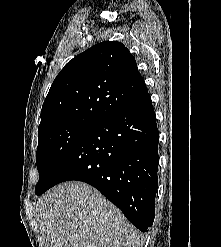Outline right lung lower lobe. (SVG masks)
Listing matches in <instances>:
<instances>
[{
	"instance_id": "obj_1",
	"label": "right lung lower lobe",
	"mask_w": 221,
	"mask_h": 247,
	"mask_svg": "<svg viewBox=\"0 0 221 247\" xmlns=\"http://www.w3.org/2000/svg\"><path fill=\"white\" fill-rule=\"evenodd\" d=\"M158 142L156 116L147 93L96 124L37 195L64 181L86 182L145 232L155 215Z\"/></svg>"
}]
</instances>
